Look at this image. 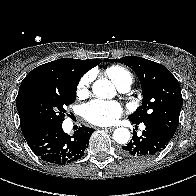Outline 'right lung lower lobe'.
<instances>
[{
	"instance_id": "1",
	"label": "right lung lower lobe",
	"mask_w": 196,
	"mask_h": 196,
	"mask_svg": "<svg viewBox=\"0 0 196 196\" xmlns=\"http://www.w3.org/2000/svg\"><path fill=\"white\" fill-rule=\"evenodd\" d=\"M93 131L82 126L70 136L62 130V124H57L36 130L26 141L34 154L43 161L64 165L84 155Z\"/></svg>"
}]
</instances>
